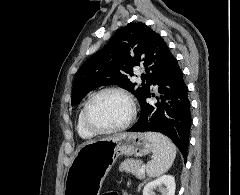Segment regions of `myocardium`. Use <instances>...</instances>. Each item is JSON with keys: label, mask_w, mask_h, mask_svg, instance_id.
I'll list each match as a JSON object with an SVG mask.
<instances>
[{"label": "myocardium", "mask_w": 240, "mask_h": 195, "mask_svg": "<svg viewBox=\"0 0 240 195\" xmlns=\"http://www.w3.org/2000/svg\"><path fill=\"white\" fill-rule=\"evenodd\" d=\"M107 93H117L124 96L130 104V108H131L130 116L123 124L119 126L111 127V128H98L90 120V116H89L90 108L96 99H98L100 96ZM136 116H137V108L132 95L128 91L122 88H117V87H109V88H104L102 90H99L89 98V100L87 101L83 109L84 125L94 135H109V134L123 132L133 124V122L136 119Z\"/></svg>", "instance_id": "1"}]
</instances>
